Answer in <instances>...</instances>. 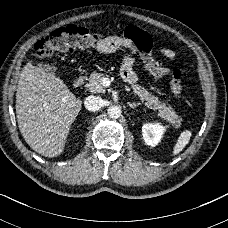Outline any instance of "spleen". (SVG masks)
Segmentation results:
<instances>
[{
    "label": "spleen",
    "mask_w": 228,
    "mask_h": 228,
    "mask_svg": "<svg viewBox=\"0 0 228 228\" xmlns=\"http://www.w3.org/2000/svg\"><path fill=\"white\" fill-rule=\"evenodd\" d=\"M191 135L192 134L189 130L183 131L180 134V136L177 140V143L175 144L174 149H173L174 155L180 153L185 148V146L189 143Z\"/></svg>",
    "instance_id": "obj_1"
}]
</instances>
